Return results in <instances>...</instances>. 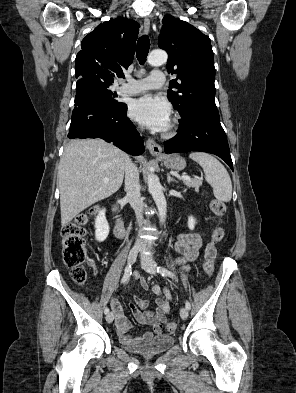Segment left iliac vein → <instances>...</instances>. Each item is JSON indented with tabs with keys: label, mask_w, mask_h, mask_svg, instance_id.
Returning <instances> with one entry per match:
<instances>
[{
	"label": "left iliac vein",
	"mask_w": 296,
	"mask_h": 393,
	"mask_svg": "<svg viewBox=\"0 0 296 393\" xmlns=\"http://www.w3.org/2000/svg\"><path fill=\"white\" fill-rule=\"evenodd\" d=\"M141 266L142 268L150 273V274H155L156 273V263L154 260H152L149 257H144L141 261ZM180 316L183 320H186L188 318V310L185 307H182L180 309Z\"/></svg>",
	"instance_id": "obj_1"
}]
</instances>
